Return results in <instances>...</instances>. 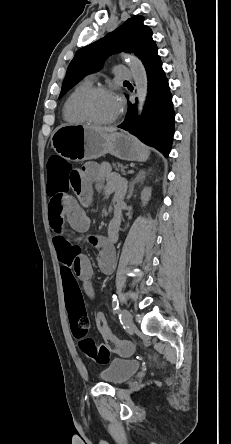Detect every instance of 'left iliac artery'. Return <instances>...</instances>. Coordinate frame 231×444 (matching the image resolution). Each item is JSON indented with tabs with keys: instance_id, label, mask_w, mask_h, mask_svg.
<instances>
[{
	"instance_id": "left-iliac-artery-1",
	"label": "left iliac artery",
	"mask_w": 231,
	"mask_h": 444,
	"mask_svg": "<svg viewBox=\"0 0 231 444\" xmlns=\"http://www.w3.org/2000/svg\"><path fill=\"white\" fill-rule=\"evenodd\" d=\"M112 307H113L114 313L119 312V300L117 298V295H115V294H113V296H112Z\"/></svg>"
}]
</instances>
